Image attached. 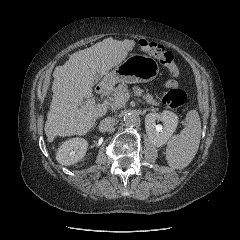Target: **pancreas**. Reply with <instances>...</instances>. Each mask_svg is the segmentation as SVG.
Here are the masks:
<instances>
[{
    "label": "pancreas",
    "mask_w": 240,
    "mask_h": 240,
    "mask_svg": "<svg viewBox=\"0 0 240 240\" xmlns=\"http://www.w3.org/2000/svg\"><path fill=\"white\" fill-rule=\"evenodd\" d=\"M128 87L125 83H122V84H119L115 89H114V92H113V96H114V101L117 100V97H121V96H125L126 94H128ZM144 100L146 101L147 104H150V105H155V106H158L159 103L156 101V99H154L152 97V95L150 94H144L143 96ZM127 101L125 100H121V101H118V104L115 105L117 108H120L122 106L125 105Z\"/></svg>",
    "instance_id": "1"
}]
</instances>
